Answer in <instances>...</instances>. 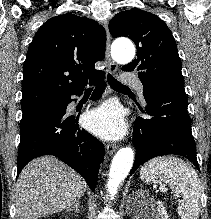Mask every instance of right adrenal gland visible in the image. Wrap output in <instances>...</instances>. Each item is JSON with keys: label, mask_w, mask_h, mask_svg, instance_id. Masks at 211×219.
Segmentation results:
<instances>
[{"label": "right adrenal gland", "mask_w": 211, "mask_h": 219, "mask_svg": "<svg viewBox=\"0 0 211 219\" xmlns=\"http://www.w3.org/2000/svg\"><path fill=\"white\" fill-rule=\"evenodd\" d=\"M70 211H72V212H74V213H76V214H78V213L80 212V209H79V201H77V202L74 204L73 208H69V209L66 210V212H70Z\"/></svg>", "instance_id": "2a0ac1e0"}]
</instances>
